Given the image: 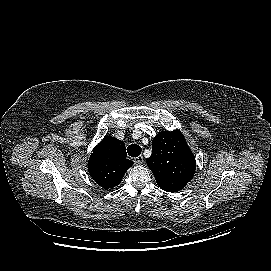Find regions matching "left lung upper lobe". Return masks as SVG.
Here are the masks:
<instances>
[{
	"label": "left lung upper lobe",
	"mask_w": 271,
	"mask_h": 271,
	"mask_svg": "<svg viewBox=\"0 0 271 271\" xmlns=\"http://www.w3.org/2000/svg\"><path fill=\"white\" fill-rule=\"evenodd\" d=\"M146 161L160 188L169 192L181 190L196 169L195 157L179 130L158 133Z\"/></svg>",
	"instance_id": "left-lung-upper-lobe-1"
}]
</instances>
